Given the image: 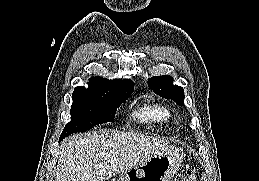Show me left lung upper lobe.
<instances>
[{
  "mask_svg": "<svg viewBox=\"0 0 259 181\" xmlns=\"http://www.w3.org/2000/svg\"><path fill=\"white\" fill-rule=\"evenodd\" d=\"M172 83V77L168 75L154 76L148 81V85L155 93L166 99L174 100L179 105H182L185 98L183 88L173 86Z\"/></svg>",
  "mask_w": 259,
  "mask_h": 181,
  "instance_id": "1",
  "label": "left lung upper lobe"
}]
</instances>
